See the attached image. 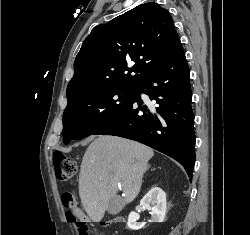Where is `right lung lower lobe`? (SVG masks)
I'll return each instance as SVG.
<instances>
[{
    "label": "right lung lower lobe",
    "mask_w": 250,
    "mask_h": 235,
    "mask_svg": "<svg viewBox=\"0 0 250 235\" xmlns=\"http://www.w3.org/2000/svg\"><path fill=\"white\" fill-rule=\"evenodd\" d=\"M189 80L190 71L179 40L168 60L149 73L129 103L94 134L120 136L150 146L177 160L192 179L195 133ZM141 93L157 106L147 107Z\"/></svg>",
    "instance_id": "1"
}]
</instances>
